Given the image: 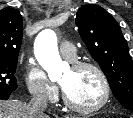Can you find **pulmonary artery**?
<instances>
[{
	"label": "pulmonary artery",
	"mask_w": 133,
	"mask_h": 118,
	"mask_svg": "<svg viewBox=\"0 0 133 118\" xmlns=\"http://www.w3.org/2000/svg\"><path fill=\"white\" fill-rule=\"evenodd\" d=\"M60 53L66 59L73 61L76 57V48L72 43L63 42L60 44Z\"/></svg>",
	"instance_id": "pulmonary-artery-1"
}]
</instances>
